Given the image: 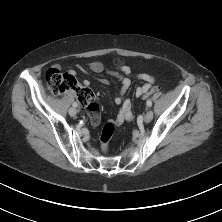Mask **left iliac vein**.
Instances as JSON below:
<instances>
[{"mask_svg": "<svg viewBox=\"0 0 222 222\" xmlns=\"http://www.w3.org/2000/svg\"><path fill=\"white\" fill-rule=\"evenodd\" d=\"M152 119H153V112L151 110H148L145 114L144 121L146 123H149Z\"/></svg>", "mask_w": 222, "mask_h": 222, "instance_id": "1", "label": "left iliac vein"}]
</instances>
